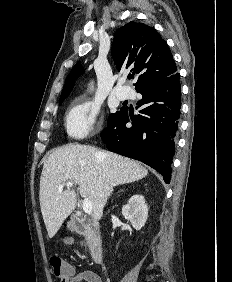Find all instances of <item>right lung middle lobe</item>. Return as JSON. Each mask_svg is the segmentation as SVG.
<instances>
[{
    "mask_svg": "<svg viewBox=\"0 0 232 282\" xmlns=\"http://www.w3.org/2000/svg\"><path fill=\"white\" fill-rule=\"evenodd\" d=\"M64 99H65V98L60 99V101H59V105H61V104H62V102L64 101ZM124 109H125V108H121V110H120V111H118V112H116V113H114V114L109 115L108 120H109V119H111L112 117H115V116H116V115H118L119 113H121Z\"/></svg>",
    "mask_w": 232,
    "mask_h": 282,
    "instance_id": "1",
    "label": "right lung middle lobe"
}]
</instances>
